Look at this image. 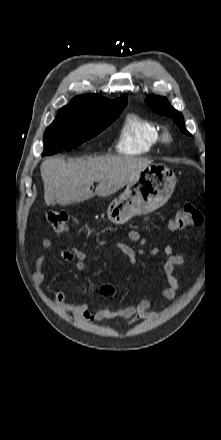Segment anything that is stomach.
Here are the masks:
<instances>
[{"label":"stomach","instance_id":"obj_1","mask_svg":"<svg viewBox=\"0 0 221 440\" xmlns=\"http://www.w3.org/2000/svg\"><path fill=\"white\" fill-rule=\"evenodd\" d=\"M176 185L174 173L163 165H151L131 180L125 191L109 205V220L121 225L133 216L150 213L163 206Z\"/></svg>","mask_w":221,"mask_h":440}]
</instances>
